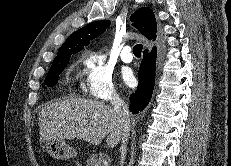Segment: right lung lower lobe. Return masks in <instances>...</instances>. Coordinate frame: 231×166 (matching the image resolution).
<instances>
[{"mask_svg": "<svg viewBox=\"0 0 231 166\" xmlns=\"http://www.w3.org/2000/svg\"><path fill=\"white\" fill-rule=\"evenodd\" d=\"M156 47L151 52L145 50L138 73L139 84L135 93L130 96V111L133 114L143 110L151 100L155 83Z\"/></svg>", "mask_w": 231, "mask_h": 166, "instance_id": "right-lung-lower-lobe-1", "label": "right lung lower lobe"}]
</instances>
